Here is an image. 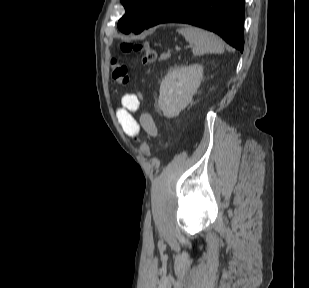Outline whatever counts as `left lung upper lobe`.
I'll return each instance as SVG.
<instances>
[{
  "label": "left lung upper lobe",
  "mask_w": 309,
  "mask_h": 288,
  "mask_svg": "<svg viewBox=\"0 0 309 288\" xmlns=\"http://www.w3.org/2000/svg\"><path fill=\"white\" fill-rule=\"evenodd\" d=\"M166 0H121L125 15L118 21V29L123 33L141 32L152 16ZM130 26V28L128 27Z\"/></svg>",
  "instance_id": "1"
}]
</instances>
